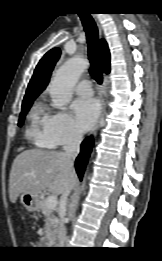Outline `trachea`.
<instances>
[{
    "instance_id": "3493384b",
    "label": "trachea",
    "mask_w": 162,
    "mask_h": 261,
    "mask_svg": "<svg viewBox=\"0 0 162 261\" xmlns=\"http://www.w3.org/2000/svg\"><path fill=\"white\" fill-rule=\"evenodd\" d=\"M79 16L87 36L88 57L91 64L90 75L96 80L97 83L101 84L103 81V76L98 28L94 19L89 13H80Z\"/></svg>"
}]
</instances>
